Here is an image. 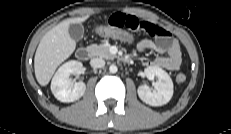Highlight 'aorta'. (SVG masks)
Wrapping results in <instances>:
<instances>
[{"instance_id":"obj_1","label":"aorta","mask_w":231,"mask_h":134,"mask_svg":"<svg viewBox=\"0 0 231 134\" xmlns=\"http://www.w3.org/2000/svg\"><path fill=\"white\" fill-rule=\"evenodd\" d=\"M109 71L110 73H116L118 71V68L116 65L112 64L110 67H109Z\"/></svg>"}]
</instances>
